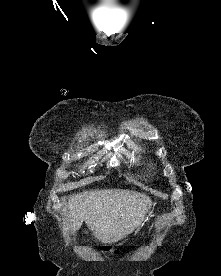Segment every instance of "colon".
<instances>
[{"instance_id": "obj_1", "label": "colon", "mask_w": 221, "mask_h": 276, "mask_svg": "<svg viewBox=\"0 0 221 276\" xmlns=\"http://www.w3.org/2000/svg\"><path fill=\"white\" fill-rule=\"evenodd\" d=\"M106 252H110V249L108 248V249H106Z\"/></svg>"}]
</instances>
